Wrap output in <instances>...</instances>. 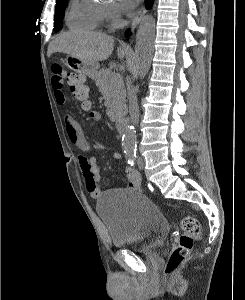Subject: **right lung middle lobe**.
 Segmentation results:
<instances>
[{
	"label": "right lung middle lobe",
	"instance_id": "dd1d6c3e",
	"mask_svg": "<svg viewBox=\"0 0 245 300\" xmlns=\"http://www.w3.org/2000/svg\"><path fill=\"white\" fill-rule=\"evenodd\" d=\"M67 6V0L57 1L54 19V30L58 31L62 27V19L64 16V11Z\"/></svg>",
	"mask_w": 245,
	"mask_h": 300
}]
</instances>
